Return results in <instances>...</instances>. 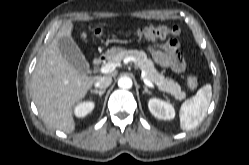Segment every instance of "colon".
Segmentation results:
<instances>
[{"mask_svg": "<svg viewBox=\"0 0 249 165\" xmlns=\"http://www.w3.org/2000/svg\"><path fill=\"white\" fill-rule=\"evenodd\" d=\"M135 36L140 39L153 40L156 38H165L168 36H178L180 29L176 26L168 27L166 25L148 26L135 31ZM187 84L190 89H196L198 86L197 78L193 75L187 79Z\"/></svg>", "mask_w": 249, "mask_h": 165, "instance_id": "1", "label": "colon"}]
</instances>
